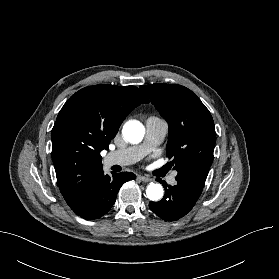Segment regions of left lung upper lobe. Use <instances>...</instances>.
Masks as SVG:
<instances>
[{
    "label": "left lung upper lobe",
    "mask_w": 279,
    "mask_h": 279,
    "mask_svg": "<svg viewBox=\"0 0 279 279\" xmlns=\"http://www.w3.org/2000/svg\"><path fill=\"white\" fill-rule=\"evenodd\" d=\"M169 125L166 152L176 180L202 190L210 166L216 133L213 118L201 100L177 84L140 86Z\"/></svg>",
    "instance_id": "5c2ea615"
}]
</instances>
